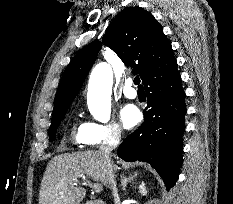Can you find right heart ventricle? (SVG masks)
Masks as SVG:
<instances>
[{"mask_svg":"<svg viewBox=\"0 0 233 204\" xmlns=\"http://www.w3.org/2000/svg\"><path fill=\"white\" fill-rule=\"evenodd\" d=\"M83 127H84V124L74 123L73 125L71 136H72V139L77 143H82L81 141H82Z\"/></svg>","mask_w":233,"mask_h":204,"instance_id":"e07e8e85","label":"right heart ventricle"}]
</instances>
